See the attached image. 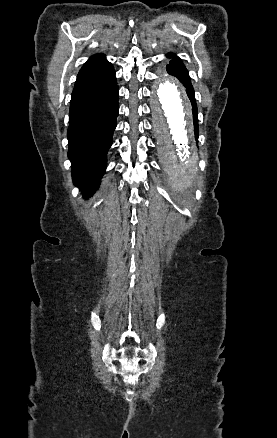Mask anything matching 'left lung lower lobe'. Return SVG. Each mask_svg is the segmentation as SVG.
Returning a JSON list of instances; mask_svg holds the SVG:
<instances>
[{
	"instance_id": "left-lung-lower-lobe-1",
	"label": "left lung lower lobe",
	"mask_w": 277,
	"mask_h": 438,
	"mask_svg": "<svg viewBox=\"0 0 277 438\" xmlns=\"http://www.w3.org/2000/svg\"><path fill=\"white\" fill-rule=\"evenodd\" d=\"M194 123L196 128V137H197V115H194Z\"/></svg>"
}]
</instances>
